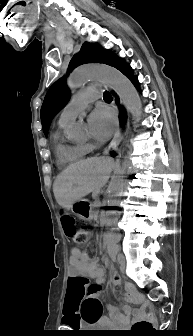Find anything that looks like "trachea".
Returning <instances> with one entry per match:
<instances>
[{
    "mask_svg": "<svg viewBox=\"0 0 193 336\" xmlns=\"http://www.w3.org/2000/svg\"><path fill=\"white\" fill-rule=\"evenodd\" d=\"M103 99L105 101H109V100H112V97H111L110 93L106 91L103 95Z\"/></svg>",
    "mask_w": 193,
    "mask_h": 336,
    "instance_id": "trachea-1",
    "label": "trachea"
}]
</instances>
